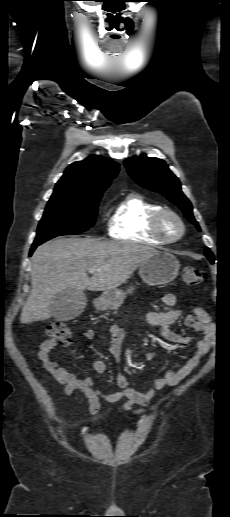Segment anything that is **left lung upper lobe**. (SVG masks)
<instances>
[{
  "mask_svg": "<svg viewBox=\"0 0 230 517\" xmlns=\"http://www.w3.org/2000/svg\"><path fill=\"white\" fill-rule=\"evenodd\" d=\"M124 164L129 175L139 185L164 195L177 205L186 218L200 230L192 213V205L181 191L179 179L170 171L164 160L142 154L139 157L126 159ZM204 254L211 263H214V255L209 248L205 249Z\"/></svg>",
  "mask_w": 230,
  "mask_h": 517,
  "instance_id": "left-lung-upper-lobe-1",
  "label": "left lung upper lobe"
}]
</instances>
